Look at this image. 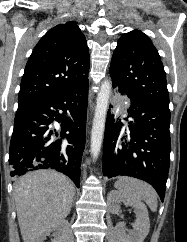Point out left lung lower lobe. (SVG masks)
Segmentation results:
<instances>
[{"mask_svg": "<svg viewBox=\"0 0 187 242\" xmlns=\"http://www.w3.org/2000/svg\"><path fill=\"white\" fill-rule=\"evenodd\" d=\"M130 98V118L124 126L108 111L103 146V175H126L150 183L164 200L170 166V110L138 99L113 84Z\"/></svg>", "mask_w": 187, "mask_h": 242, "instance_id": "left-lung-lower-lobe-1", "label": "left lung lower lobe"}]
</instances>
